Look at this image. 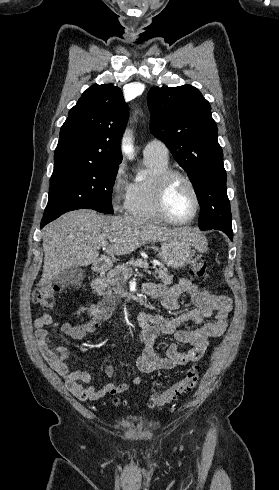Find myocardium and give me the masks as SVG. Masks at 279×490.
<instances>
[{
    "label": "myocardium",
    "instance_id": "myocardium-1",
    "mask_svg": "<svg viewBox=\"0 0 279 490\" xmlns=\"http://www.w3.org/2000/svg\"><path fill=\"white\" fill-rule=\"evenodd\" d=\"M178 179H182L186 181L189 186L192 189L193 195H194V210L191 214V216L185 220H177L175 219L169 211L168 208V196L171 190L172 185L174 182ZM201 201H200V195H199V190L194 182V180L185 172L181 170H175V169H169L165 171L158 180V187H157V193H156V206L159 214L161 217L176 225H184L192 222L196 216L198 215L199 209H200Z\"/></svg>",
    "mask_w": 279,
    "mask_h": 490
}]
</instances>
